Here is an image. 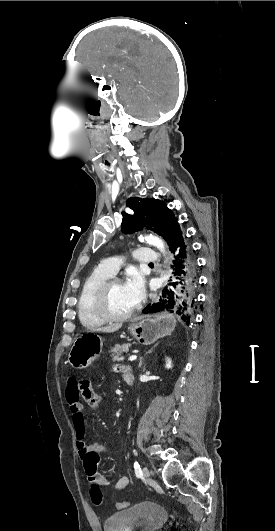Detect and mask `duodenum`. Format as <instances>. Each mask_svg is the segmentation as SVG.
Returning <instances> with one entry per match:
<instances>
[{
	"instance_id": "1",
	"label": "duodenum",
	"mask_w": 275,
	"mask_h": 531,
	"mask_svg": "<svg viewBox=\"0 0 275 531\" xmlns=\"http://www.w3.org/2000/svg\"><path fill=\"white\" fill-rule=\"evenodd\" d=\"M123 377H124V380L126 381V383H127L128 385L131 386V385L133 384V378H134V375H133L132 372H130V371L125 372L124 375H123Z\"/></svg>"
}]
</instances>
